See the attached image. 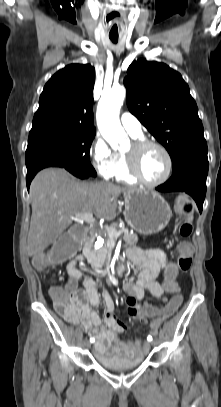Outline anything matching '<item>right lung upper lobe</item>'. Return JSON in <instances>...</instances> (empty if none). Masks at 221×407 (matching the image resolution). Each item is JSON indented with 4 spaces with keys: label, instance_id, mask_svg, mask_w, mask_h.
<instances>
[{
    "label": "right lung upper lobe",
    "instance_id": "1",
    "mask_svg": "<svg viewBox=\"0 0 221 407\" xmlns=\"http://www.w3.org/2000/svg\"><path fill=\"white\" fill-rule=\"evenodd\" d=\"M95 69L71 64L59 70L46 83L31 130L64 127L96 132L93 126Z\"/></svg>",
    "mask_w": 221,
    "mask_h": 407
}]
</instances>
